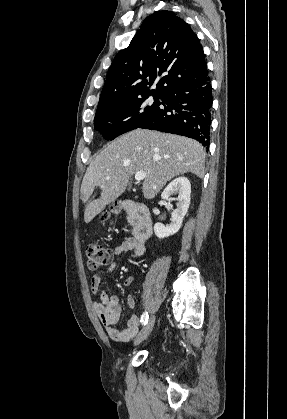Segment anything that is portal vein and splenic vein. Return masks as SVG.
<instances>
[{"label": "portal vein and splenic vein", "instance_id": "18ae733b", "mask_svg": "<svg viewBox=\"0 0 287 419\" xmlns=\"http://www.w3.org/2000/svg\"><path fill=\"white\" fill-rule=\"evenodd\" d=\"M145 177H146V173H145V172H143V171L137 172V173L135 174V180H136V181H141V180H143ZM106 179H109V177H106Z\"/></svg>", "mask_w": 287, "mask_h": 419}]
</instances>
